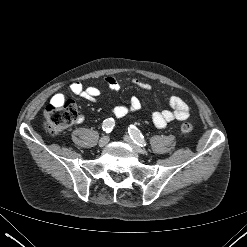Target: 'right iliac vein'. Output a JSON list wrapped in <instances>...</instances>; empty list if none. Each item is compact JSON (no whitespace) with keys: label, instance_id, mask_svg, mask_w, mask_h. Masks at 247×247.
<instances>
[{"label":"right iliac vein","instance_id":"obj_1","mask_svg":"<svg viewBox=\"0 0 247 247\" xmlns=\"http://www.w3.org/2000/svg\"><path fill=\"white\" fill-rule=\"evenodd\" d=\"M109 142V137L108 136H103L100 140H99V146L100 147H104L108 144Z\"/></svg>","mask_w":247,"mask_h":247}]
</instances>
